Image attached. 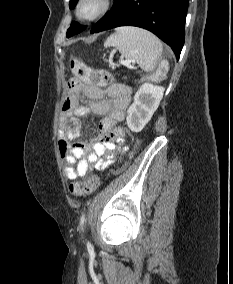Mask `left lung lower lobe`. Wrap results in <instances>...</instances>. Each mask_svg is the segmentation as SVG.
<instances>
[{"instance_id":"left-lung-lower-lobe-1","label":"left lung lower lobe","mask_w":233,"mask_h":284,"mask_svg":"<svg viewBox=\"0 0 233 284\" xmlns=\"http://www.w3.org/2000/svg\"><path fill=\"white\" fill-rule=\"evenodd\" d=\"M188 0H115L90 33L119 26L147 29L168 44L179 59L185 40Z\"/></svg>"}]
</instances>
